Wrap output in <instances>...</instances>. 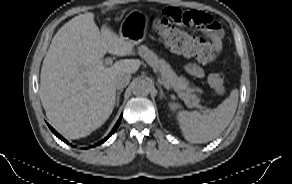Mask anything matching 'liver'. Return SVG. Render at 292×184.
Segmentation results:
<instances>
[{
	"instance_id": "obj_1",
	"label": "liver",
	"mask_w": 292,
	"mask_h": 184,
	"mask_svg": "<svg viewBox=\"0 0 292 184\" xmlns=\"http://www.w3.org/2000/svg\"><path fill=\"white\" fill-rule=\"evenodd\" d=\"M105 12V11H103ZM94 13L80 14L64 24L43 60L39 95L50 123L70 139L90 135L111 115L116 99L115 78L135 73L137 59L105 67L106 52L134 55L133 45L94 22Z\"/></svg>"
}]
</instances>
